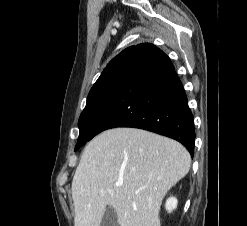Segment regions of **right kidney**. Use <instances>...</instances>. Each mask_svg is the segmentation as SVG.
<instances>
[{"label":"right kidney","mask_w":247,"mask_h":226,"mask_svg":"<svg viewBox=\"0 0 247 226\" xmlns=\"http://www.w3.org/2000/svg\"><path fill=\"white\" fill-rule=\"evenodd\" d=\"M177 204H178V201L175 197L168 198L165 204L166 210L169 213L172 212L174 209H176Z\"/></svg>","instance_id":"ca27d5eb"}]
</instances>
